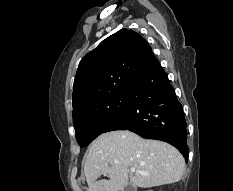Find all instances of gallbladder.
Segmentation results:
<instances>
[{"mask_svg": "<svg viewBox=\"0 0 233 191\" xmlns=\"http://www.w3.org/2000/svg\"><path fill=\"white\" fill-rule=\"evenodd\" d=\"M123 191H136V188L133 187L130 183L127 184Z\"/></svg>", "mask_w": 233, "mask_h": 191, "instance_id": "1", "label": "gallbladder"}]
</instances>
